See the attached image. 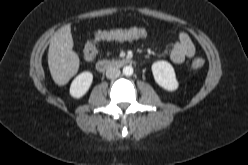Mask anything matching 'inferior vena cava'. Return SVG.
<instances>
[{
  "label": "inferior vena cava",
  "instance_id": "inferior-vena-cava-1",
  "mask_svg": "<svg viewBox=\"0 0 248 165\" xmlns=\"http://www.w3.org/2000/svg\"><path fill=\"white\" fill-rule=\"evenodd\" d=\"M121 72L118 68L110 67L106 71V77L108 79H116L120 76Z\"/></svg>",
  "mask_w": 248,
  "mask_h": 165
}]
</instances>
